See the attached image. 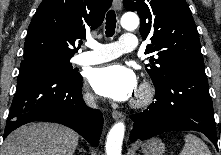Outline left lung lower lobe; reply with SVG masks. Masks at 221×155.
Wrapping results in <instances>:
<instances>
[{
	"label": "left lung lower lobe",
	"mask_w": 221,
	"mask_h": 155,
	"mask_svg": "<svg viewBox=\"0 0 221 155\" xmlns=\"http://www.w3.org/2000/svg\"><path fill=\"white\" fill-rule=\"evenodd\" d=\"M130 140H146L163 132L195 130L204 133L217 147L213 105L204 69H184L156 87L155 102L131 116Z\"/></svg>",
	"instance_id": "1"
}]
</instances>
